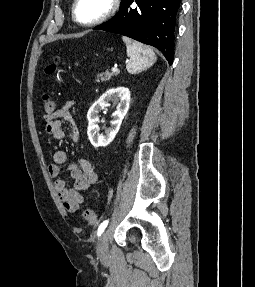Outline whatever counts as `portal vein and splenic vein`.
<instances>
[{"label":"portal vein and splenic vein","mask_w":255,"mask_h":287,"mask_svg":"<svg viewBox=\"0 0 255 287\" xmlns=\"http://www.w3.org/2000/svg\"><path fill=\"white\" fill-rule=\"evenodd\" d=\"M112 72H119L117 66H114V68H112Z\"/></svg>","instance_id":"portal-vein-and-splenic-vein-1"}]
</instances>
